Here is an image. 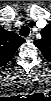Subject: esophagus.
<instances>
[{"instance_id":"obj_1","label":"esophagus","mask_w":51,"mask_h":101,"mask_svg":"<svg viewBox=\"0 0 51 101\" xmlns=\"http://www.w3.org/2000/svg\"><path fill=\"white\" fill-rule=\"evenodd\" d=\"M26 40L28 42H32L34 40V35L33 34H30L29 36L26 37Z\"/></svg>"}]
</instances>
